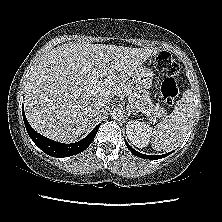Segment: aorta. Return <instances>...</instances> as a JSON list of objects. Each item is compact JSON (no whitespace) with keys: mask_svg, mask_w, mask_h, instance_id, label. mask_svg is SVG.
<instances>
[{"mask_svg":"<svg viewBox=\"0 0 222 222\" xmlns=\"http://www.w3.org/2000/svg\"><path fill=\"white\" fill-rule=\"evenodd\" d=\"M110 115L113 119L119 120L123 117V112L120 108L117 107L111 111Z\"/></svg>","mask_w":222,"mask_h":222,"instance_id":"1","label":"aorta"}]
</instances>
